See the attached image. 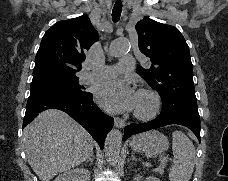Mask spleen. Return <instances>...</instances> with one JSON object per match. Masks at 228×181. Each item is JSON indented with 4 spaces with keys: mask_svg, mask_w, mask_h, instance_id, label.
<instances>
[{
    "mask_svg": "<svg viewBox=\"0 0 228 181\" xmlns=\"http://www.w3.org/2000/svg\"><path fill=\"white\" fill-rule=\"evenodd\" d=\"M172 137L174 161L169 169V181H190L195 165L194 145L182 131H174Z\"/></svg>",
    "mask_w": 228,
    "mask_h": 181,
    "instance_id": "1",
    "label": "spleen"
}]
</instances>
